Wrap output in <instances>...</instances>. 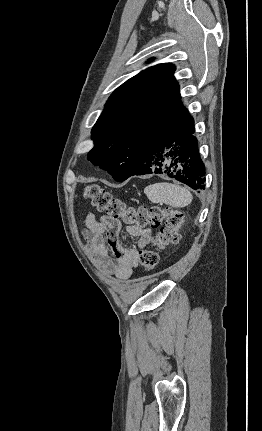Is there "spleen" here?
<instances>
[{
    "instance_id": "obj_1",
    "label": "spleen",
    "mask_w": 262,
    "mask_h": 431,
    "mask_svg": "<svg viewBox=\"0 0 262 431\" xmlns=\"http://www.w3.org/2000/svg\"><path fill=\"white\" fill-rule=\"evenodd\" d=\"M144 192L151 202H163L176 208L188 206L193 199L187 188L168 182L151 184L144 189Z\"/></svg>"
}]
</instances>
